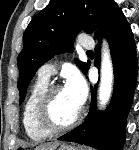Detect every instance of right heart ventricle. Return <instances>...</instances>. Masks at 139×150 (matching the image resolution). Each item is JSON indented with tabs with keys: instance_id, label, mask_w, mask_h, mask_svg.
Masks as SVG:
<instances>
[{
	"instance_id": "e07e8e85",
	"label": "right heart ventricle",
	"mask_w": 139,
	"mask_h": 150,
	"mask_svg": "<svg viewBox=\"0 0 139 150\" xmlns=\"http://www.w3.org/2000/svg\"><path fill=\"white\" fill-rule=\"evenodd\" d=\"M48 84L49 80L38 77L31 87L29 95L24 104L22 123L26 134L33 140H42L50 135V133L39 128L35 118V111L38 100Z\"/></svg>"
}]
</instances>
